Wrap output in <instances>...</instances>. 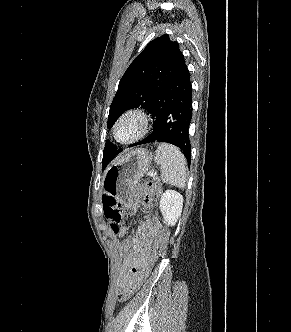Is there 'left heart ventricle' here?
<instances>
[{"label": "left heart ventricle", "instance_id": "obj_1", "mask_svg": "<svg viewBox=\"0 0 291 332\" xmlns=\"http://www.w3.org/2000/svg\"><path fill=\"white\" fill-rule=\"evenodd\" d=\"M140 129V123L136 118L125 119L118 127L117 137L119 140L125 141L134 137Z\"/></svg>", "mask_w": 291, "mask_h": 332}]
</instances>
